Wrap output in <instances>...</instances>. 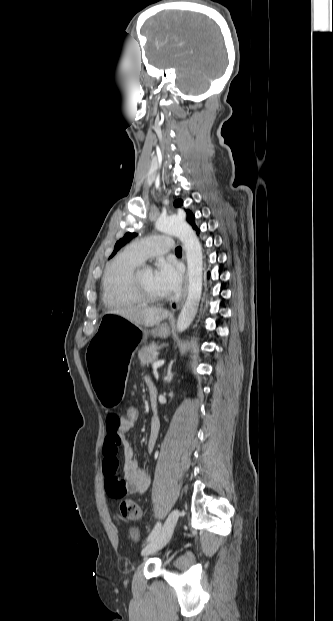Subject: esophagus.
<instances>
[{"mask_svg": "<svg viewBox=\"0 0 333 621\" xmlns=\"http://www.w3.org/2000/svg\"><path fill=\"white\" fill-rule=\"evenodd\" d=\"M186 294H187V280H186L184 291H183V294H182L181 298L179 300H176L175 302H173L172 305H171L172 311H175V310L179 309L182 306L183 301H184V299L186 297Z\"/></svg>", "mask_w": 333, "mask_h": 621, "instance_id": "obj_1", "label": "esophagus"}]
</instances>
